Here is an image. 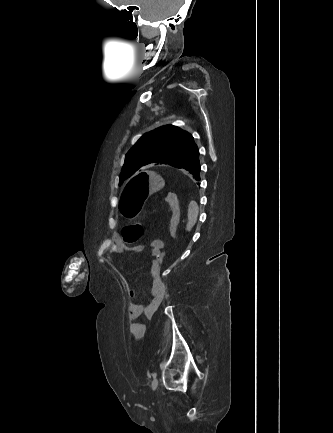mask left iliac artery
<instances>
[{
  "instance_id": "1",
  "label": "left iliac artery",
  "mask_w": 333,
  "mask_h": 433,
  "mask_svg": "<svg viewBox=\"0 0 333 433\" xmlns=\"http://www.w3.org/2000/svg\"><path fill=\"white\" fill-rule=\"evenodd\" d=\"M152 376H153V378H155L156 377V373H153Z\"/></svg>"
}]
</instances>
